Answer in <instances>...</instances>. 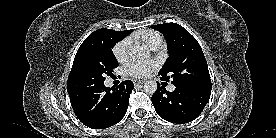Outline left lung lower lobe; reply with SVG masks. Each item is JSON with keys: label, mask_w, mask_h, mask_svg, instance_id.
Segmentation results:
<instances>
[{"label": "left lung lower lobe", "mask_w": 276, "mask_h": 138, "mask_svg": "<svg viewBox=\"0 0 276 138\" xmlns=\"http://www.w3.org/2000/svg\"><path fill=\"white\" fill-rule=\"evenodd\" d=\"M210 95L211 91L182 87H176L173 92H167L158 83V89L152 95L151 100L161 118L172 123L183 124L200 115L208 103Z\"/></svg>", "instance_id": "1"}]
</instances>
